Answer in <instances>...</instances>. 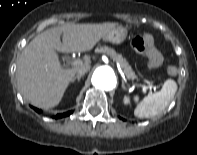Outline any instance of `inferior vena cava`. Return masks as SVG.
<instances>
[{
  "instance_id": "602c4592",
  "label": "inferior vena cava",
  "mask_w": 197,
  "mask_h": 155,
  "mask_svg": "<svg viewBox=\"0 0 197 155\" xmlns=\"http://www.w3.org/2000/svg\"><path fill=\"white\" fill-rule=\"evenodd\" d=\"M90 69L89 66H83V67H80L78 70H77V74L78 75H84L86 72H88Z\"/></svg>"
}]
</instances>
